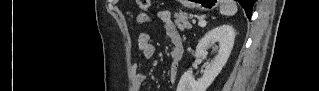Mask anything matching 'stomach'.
<instances>
[{"instance_id":"1","label":"stomach","mask_w":319,"mask_h":91,"mask_svg":"<svg viewBox=\"0 0 319 91\" xmlns=\"http://www.w3.org/2000/svg\"><path fill=\"white\" fill-rule=\"evenodd\" d=\"M217 0H202V1H191V2H184L187 6L191 8H200L203 10H211L215 7Z\"/></svg>"}]
</instances>
